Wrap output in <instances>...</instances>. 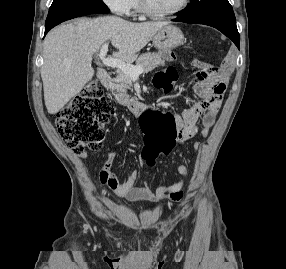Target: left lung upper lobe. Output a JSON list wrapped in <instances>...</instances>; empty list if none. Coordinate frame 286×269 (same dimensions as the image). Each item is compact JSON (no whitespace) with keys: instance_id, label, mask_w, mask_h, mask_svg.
Returning a JSON list of instances; mask_svg holds the SVG:
<instances>
[{"instance_id":"1","label":"left lung upper lobe","mask_w":286,"mask_h":269,"mask_svg":"<svg viewBox=\"0 0 286 269\" xmlns=\"http://www.w3.org/2000/svg\"><path fill=\"white\" fill-rule=\"evenodd\" d=\"M190 5L180 11L178 16L185 20L223 19L236 21L228 0H190Z\"/></svg>"}]
</instances>
